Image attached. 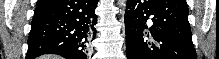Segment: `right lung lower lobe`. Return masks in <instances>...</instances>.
I'll use <instances>...</instances> for the list:
<instances>
[{"label":"right lung lower lobe","instance_id":"obj_1","mask_svg":"<svg viewBox=\"0 0 219 59\" xmlns=\"http://www.w3.org/2000/svg\"><path fill=\"white\" fill-rule=\"evenodd\" d=\"M96 6L97 0H38L26 59L47 53L86 59L96 35Z\"/></svg>","mask_w":219,"mask_h":59}]
</instances>
